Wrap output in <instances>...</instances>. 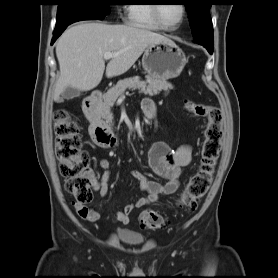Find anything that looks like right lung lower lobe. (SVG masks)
<instances>
[{"label":"right lung lower lobe","mask_w":278,"mask_h":278,"mask_svg":"<svg viewBox=\"0 0 278 278\" xmlns=\"http://www.w3.org/2000/svg\"><path fill=\"white\" fill-rule=\"evenodd\" d=\"M68 25H70V24H68ZM68 25H65V26L60 27V28H55L54 33H53L52 44L62 34V32L67 28Z\"/></svg>","instance_id":"98d812e1"}]
</instances>
